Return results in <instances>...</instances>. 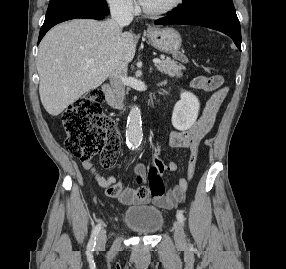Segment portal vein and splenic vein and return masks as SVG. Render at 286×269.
Instances as JSON below:
<instances>
[{
  "mask_svg": "<svg viewBox=\"0 0 286 269\" xmlns=\"http://www.w3.org/2000/svg\"><path fill=\"white\" fill-rule=\"evenodd\" d=\"M86 61H87V63H89V64H91V63H93L94 62V60L93 59H86ZM153 63L154 64H160L161 63V60L160 59H153Z\"/></svg>",
  "mask_w": 286,
  "mask_h": 269,
  "instance_id": "portal-vein-and-splenic-vein-1",
  "label": "portal vein and splenic vein"
}]
</instances>
